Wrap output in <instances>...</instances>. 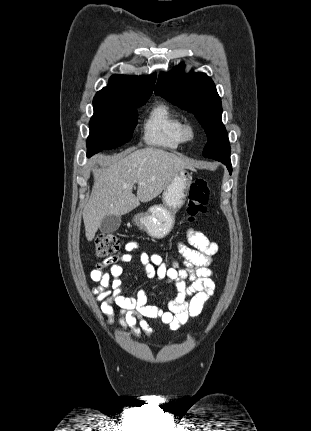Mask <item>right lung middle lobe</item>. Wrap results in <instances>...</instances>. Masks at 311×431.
<instances>
[{"label": "right lung middle lobe", "mask_w": 311, "mask_h": 431, "mask_svg": "<svg viewBox=\"0 0 311 431\" xmlns=\"http://www.w3.org/2000/svg\"><path fill=\"white\" fill-rule=\"evenodd\" d=\"M149 97L95 96L94 115L90 120L87 156L104 149H113L128 142L137 124V110Z\"/></svg>", "instance_id": "dd1d6c3e"}]
</instances>
